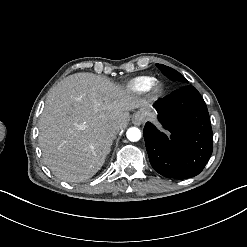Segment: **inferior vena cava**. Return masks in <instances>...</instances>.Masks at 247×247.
<instances>
[{
	"mask_svg": "<svg viewBox=\"0 0 247 247\" xmlns=\"http://www.w3.org/2000/svg\"><path fill=\"white\" fill-rule=\"evenodd\" d=\"M108 132H109L110 138L113 139L120 132V128L118 126L110 127L108 129Z\"/></svg>",
	"mask_w": 247,
	"mask_h": 247,
	"instance_id": "1",
	"label": "inferior vena cava"
}]
</instances>
